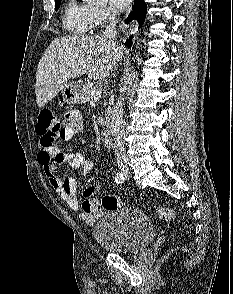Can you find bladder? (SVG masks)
<instances>
[{
	"label": "bladder",
	"mask_w": 233,
	"mask_h": 294,
	"mask_svg": "<svg viewBox=\"0 0 233 294\" xmlns=\"http://www.w3.org/2000/svg\"><path fill=\"white\" fill-rule=\"evenodd\" d=\"M93 237L103 249L132 254L143 250L155 237V227L140 211L120 208L107 212L93 226Z\"/></svg>",
	"instance_id": "31cf9c89"
}]
</instances>
